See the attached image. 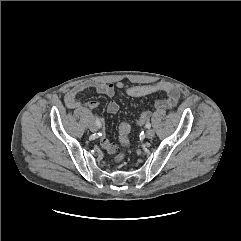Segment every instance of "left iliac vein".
<instances>
[{
  "label": "left iliac vein",
  "instance_id": "1",
  "mask_svg": "<svg viewBox=\"0 0 241 241\" xmlns=\"http://www.w3.org/2000/svg\"><path fill=\"white\" fill-rule=\"evenodd\" d=\"M154 135H155V132H154V130L153 129H148L147 131H146V137L148 138V139H152L153 137H154Z\"/></svg>",
  "mask_w": 241,
  "mask_h": 241
}]
</instances>
